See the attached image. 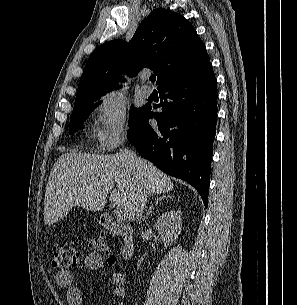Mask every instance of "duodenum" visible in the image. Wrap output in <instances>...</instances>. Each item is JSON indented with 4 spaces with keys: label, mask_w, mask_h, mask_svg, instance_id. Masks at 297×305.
Segmentation results:
<instances>
[{
    "label": "duodenum",
    "mask_w": 297,
    "mask_h": 305,
    "mask_svg": "<svg viewBox=\"0 0 297 305\" xmlns=\"http://www.w3.org/2000/svg\"><path fill=\"white\" fill-rule=\"evenodd\" d=\"M100 222L109 232L121 238L122 259L124 261L131 260L135 252L132 228L126 225H120L110 214H103L100 218Z\"/></svg>",
    "instance_id": "1"
}]
</instances>
